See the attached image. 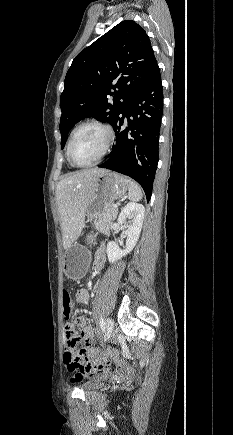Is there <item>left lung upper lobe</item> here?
I'll return each instance as SVG.
<instances>
[{
  "label": "left lung upper lobe",
  "instance_id": "5c2ea615",
  "mask_svg": "<svg viewBox=\"0 0 233 435\" xmlns=\"http://www.w3.org/2000/svg\"><path fill=\"white\" fill-rule=\"evenodd\" d=\"M156 65L149 37L132 20L119 23L82 50L66 74L60 97L61 147L70 129L86 117L113 126Z\"/></svg>",
  "mask_w": 233,
  "mask_h": 435
}]
</instances>
